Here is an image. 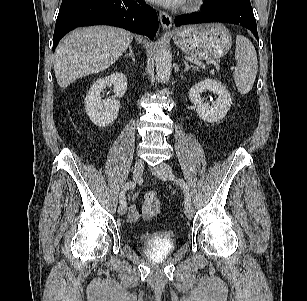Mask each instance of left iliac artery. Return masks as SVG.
Instances as JSON below:
<instances>
[{"instance_id":"44dca946","label":"left iliac artery","mask_w":307,"mask_h":301,"mask_svg":"<svg viewBox=\"0 0 307 301\" xmlns=\"http://www.w3.org/2000/svg\"><path fill=\"white\" fill-rule=\"evenodd\" d=\"M170 178L172 180H174L175 176L170 175ZM176 181L178 182V184L180 185V187L182 188V190L185 194V206L188 205V204H191L190 192H189V188H188L187 183L183 179H180V178H178V179L176 178Z\"/></svg>"}]
</instances>
